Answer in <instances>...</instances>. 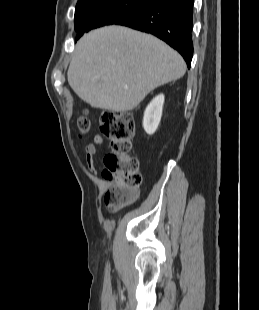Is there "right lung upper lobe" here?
I'll list each match as a JSON object with an SVG mask.
<instances>
[{"mask_svg":"<svg viewBox=\"0 0 259 310\" xmlns=\"http://www.w3.org/2000/svg\"><path fill=\"white\" fill-rule=\"evenodd\" d=\"M101 1H103V0H78L77 5H76V9L88 7V6L94 5V4L101 2Z\"/></svg>","mask_w":259,"mask_h":310,"instance_id":"right-lung-upper-lobe-1","label":"right lung upper lobe"}]
</instances>
